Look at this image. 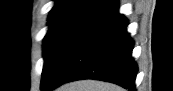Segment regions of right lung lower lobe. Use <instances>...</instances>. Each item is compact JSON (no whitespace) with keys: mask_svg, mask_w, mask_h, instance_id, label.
Wrapping results in <instances>:
<instances>
[{"mask_svg":"<svg viewBox=\"0 0 173 91\" xmlns=\"http://www.w3.org/2000/svg\"><path fill=\"white\" fill-rule=\"evenodd\" d=\"M128 20L118 4L87 21L70 41L45 82L42 91L79 80L96 79L135 90L138 66L132 57L134 41L127 33Z\"/></svg>","mask_w":173,"mask_h":91,"instance_id":"98d812e1","label":"right lung lower lobe"}]
</instances>
